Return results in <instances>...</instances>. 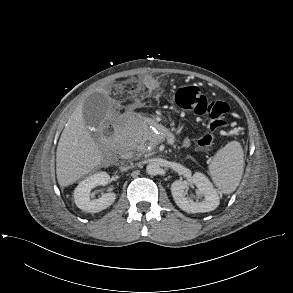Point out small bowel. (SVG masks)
<instances>
[{
  "instance_id": "1",
  "label": "small bowel",
  "mask_w": 293,
  "mask_h": 293,
  "mask_svg": "<svg viewBox=\"0 0 293 293\" xmlns=\"http://www.w3.org/2000/svg\"><path fill=\"white\" fill-rule=\"evenodd\" d=\"M142 84H143L145 89L151 91V90H154L157 87L158 83H157V80L154 77H152L150 75H144L142 77ZM188 144H189L188 141L184 142L185 146H187Z\"/></svg>"
}]
</instances>
